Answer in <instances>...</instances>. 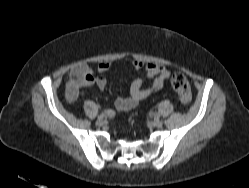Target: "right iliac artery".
Wrapping results in <instances>:
<instances>
[{"label":"right iliac artery","instance_id":"obj_1","mask_svg":"<svg viewBox=\"0 0 249 188\" xmlns=\"http://www.w3.org/2000/svg\"><path fill=\"white\" fill-rule=\"evenodd\" d=\"M104 117H105V114L102 113V114H100V115L98 116V119H103Z\"/></svg>","mask_w":249,"mask_h":188}]
</instances>
